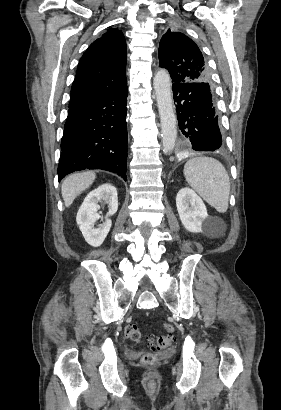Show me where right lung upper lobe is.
I'll return each mask as SVG.
<instances>
[{
    "label": "right lung upper lobe",
    "mask_w": 281,
    "mask_h": 410,
    "mask_svg": "<svg viewBox=\"0 0 281 410\" xmlns=\"http://www.w3.org/2000/svg\"><path fill=\"white\" fill-rule=\"evenodd\" d=\"M126 85V42L118 29H108L83 54L71 88L69 107Z\"/></svg>",
    "instance_id": "right-lung-upper-lobe-1"
}]
</instances>
